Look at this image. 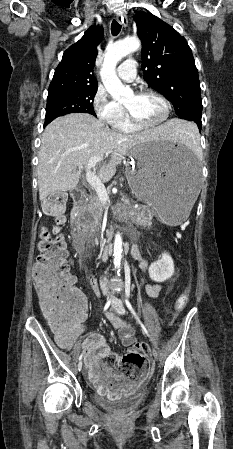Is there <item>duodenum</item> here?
<instances>
[{
  "label": "duodenum",
  "instance_id": "410a0bca",
  "mask_svg": "<svg viewBox=\"0 0 233 449\" xmlns=\"http://www.w3.org/2000/svg\"><path fill=\"white\" fill-rule=\"evenodd\" d=\"M72 199L75 203L73 212H72V219L74 222L78 221L79 219V212L77 210V206H81V204L86 199V194L84 192H74L72 195ZM111 254V244H106L102 250L99 253V258L101 260L107 259ZM100 289V288H99ZM100 291V290H99Z\"/></svg>",
  "mask_w": 233,
  "mask_h": 449
}]
</instances>
